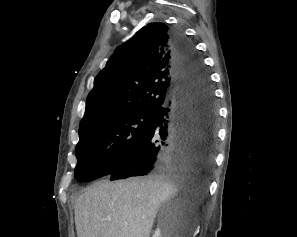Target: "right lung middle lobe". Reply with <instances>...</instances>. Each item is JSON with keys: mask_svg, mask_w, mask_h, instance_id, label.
Returning a JSON list of instances; mask_svg holds the SVG:
<instances>
[{"mask_svg": "<svg viewBox=\"0 0 297 237\" xmlns=\"http://www.w3.org/2000/svg\"><path fill=\"white\" fill-rule=\"evenodd\" d=\"M154 112H136L98 121L79 133L75 149V177L92 181L109 173L112 166L149 131Z\"/></svg>", "mask_w": 297, "mask_h": 237, "instance_id": "right-lung-middle-lobe-1", "label": "right lung middle lobe"}]
</instances>
